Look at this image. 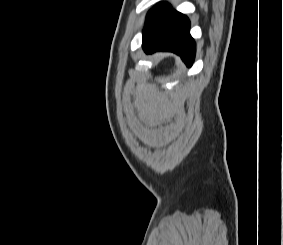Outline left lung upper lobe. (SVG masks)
Masks as SVG:
<instances>
[{
    "label": "left lung upper lobe",
    "instance_id": "5c2ea615",
    "mask_svg": "<svg viewBox=\"0 0 283 245\" xmlns=\"http://www.w3.org/2000/svg\"><path fill=\"white\" fill-rule=\"evenodd\" d=\"M170 5L161 2L158 3L150 10L147 14V21L143 29V34L148 32L159 20L160 18L170 9Z\"/></svg>",
    "mask_w": 283,
    "mask_h": 245
}]
</instances>
